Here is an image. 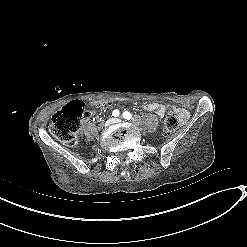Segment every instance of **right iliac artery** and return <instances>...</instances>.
Masks as SVG:
<instances>
[{
    "label": "right iliac artery",
    "instance_id": "1",
    "mask_svg": "<svg viewBox=\"0 0 247 247\" xmlns=\"http://www.w3.org/2000/svg\"><path fill=\"white\" fill-rule=\"evenodd\" d=\"M112 116L118 117V116H119V111H118V110H114V111L112 112Z\"/></svg>",
    "mask_w": 247,
    "mask_h": 247
}]
</instances>
